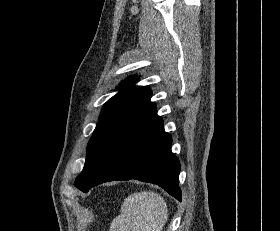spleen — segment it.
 I'll list each match as a JSON object with an SVG mask.
<instances>
[{
  "label": "spleen",
  "mask_w": 280,
  "mask_h": 231,
  "mask_svg": "<svg viewBox=\"0 0 280 231\" xmlns=\"http://www.w3.org/2000/svg\"><path fill=\"white\" fill-rule=\"evenodd\" d=\"M167 219V203L163 197L155 191H139L125 197L110 231H161Z\"/></svg>",
  "instance_id": "obj_1"
}]
</instances>
